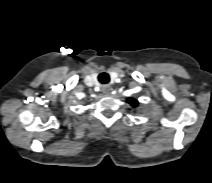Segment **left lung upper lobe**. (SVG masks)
I'll return each instance as SVG.
<instances>
[{
	"label": "left lung upper lobe",
	"mask_w": 212,
	"mask_h": 183,
	"mask_svg": "<svg viewBox=\"0 0 212 183\" xmlns=\"http://www.w3.org/2000/svg\"><path fill=\"white\" fill-rule=\"evenodd\" d=\"M127 102L130 103L133 107L138 106V101L133 100V99H131V98H129V99L127 100Z\"/></svg>",
	"instance_id": "5c2ea615"
}]
</instances>
